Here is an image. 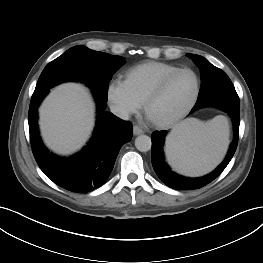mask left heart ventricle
Segmentation results:
<instances>
[{
    "mask_svg": "<svg viewBox=\"0 0 263 263\" xmlns=\"http://www.w3.org/2000/svg\"><path fill=\"white\" fill-rule=\"evenodd\" d=\"M195 84V77L190 72H182L175 76L151 105L150 118L165 120L178 114L191 99L195 91Z\"/></svg>",
    "mask_w": 263,
    "mask_h": 263,
    "instance_id": "b2bd125f",
    "label": "left heart ventricle"
}]
</instances>
